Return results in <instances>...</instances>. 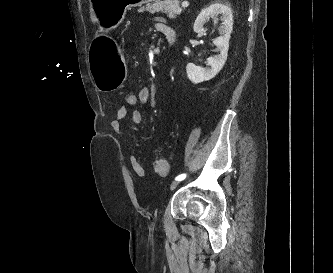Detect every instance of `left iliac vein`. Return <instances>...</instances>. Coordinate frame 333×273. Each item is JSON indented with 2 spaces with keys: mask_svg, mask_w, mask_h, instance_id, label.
Masks as SVG:
<instances>
[{
  "mask_svg": "<svg viewBox=\"0 0 333 273\" xmlns=\"http://www.w3.org/2000/svg\"><path fill=\"white\" fill-rule=\"evenodd\" d=\"M179 183L180 181L178 180L173 181L169 186L170 190H174L179 185Z\"/></svg>",
  "mask_w": 333,
  "mask_h": 273,
  "instance_id": "4c4485c4",
  "label": "left iliac vein"
}]
</instances>
